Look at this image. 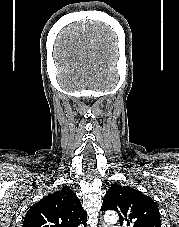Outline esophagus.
<instances>
[{
  "instance_id": "obj_1",
  "label": "esophagus",
  "mask_w": 179,
  "mask_h": 227,
  "mask_svg": "<svg viewBox=\"0 0 179 227\" xmlns=\"http://www.w3.org/2000/svg\"><path fill=\"white\" fill-rule=\"evenodd\" d=\"M99 227H107V226L105 225V223L102 220H100Z\"/></svg>"
}]
</instances>
